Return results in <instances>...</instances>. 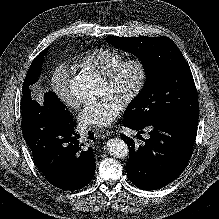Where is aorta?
<instances>
[{
    "mask_svg": "<svg viewBox=\"0 0 219 219\" xmlns=\"http://www.w3.org/2000/svg\"><path fill=\"white\" fill-rule=\"evenodd\" d=\"M73 96L79 100L90 99L95 93V83L92 80L85 78H76L72 83ZM108 153L116 158H124L128 155L127 144L119 138H111L106 143Z\"/></svg>",
    "mask_w": 219,
    "mask_h": 219,
    "instance_id": "1",
    "label": "aorta"
}]
</instances>
